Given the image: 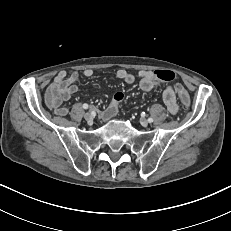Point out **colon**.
<instances>
[{"label": "colon", "mask_w": 231, "mask_h": 231, "mask_svg": "<svg viewBox=\"0 0 231 231\" xmlns=\"http://www.w3.org/2000/svg\"><path fill=\"white\" fill-rule=\"evenodd\" d=\"M154 78L161 82H170L174 80L175 74L170 70H157L154 72ZM175 90L178 94V98L181 102V105L184 106L185 109L188 110L192 109L194 104L190 93L180 85H176ZM57 91H58L57 86L55 85L50 86L49 91L46 92L44 95L45 98L43 101L44 106L46 107L51 106L52 104L51 100L53 99L54 94L57 93ZM123 99H124V95L122 93H116L114 95V101L117 104L122 102Z\"/></svg>", "instance_id": "obj_1"}]
</instances>
